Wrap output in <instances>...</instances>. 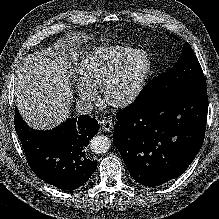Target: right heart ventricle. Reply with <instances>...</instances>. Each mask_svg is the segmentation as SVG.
Here are the masks:
<instances>
[{
  "label": "right heart ventricle",
  "instance_id": "obj_1",
  "mask_svg": "<svg viewBox=\"0 0 219 219\" xmlns=\"http://www.w3.org/2000/svg\"><path fill=\"white\" fill-rule=\"evenodd\" d=\"M135 49L128 44H111L87 51L77 65L79 80L98 88L115 63Z\"/></svg>",
  "mask_w": 219,
  "mask_h": 219
}]
</instances>
